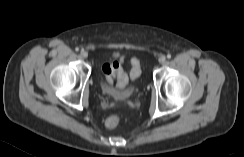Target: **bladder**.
I'll return each instance as SVG.
<instances>
[{"label":"bladder","instance_id":"obj_1","mask_svg":"<svg viewBox=\"0 0 244 157\" xmlns=\"http://www.w3.org/2000/svg\"><path fill=\"white\" fill-rule=\"evenodd\" d=\"M101 88L102 90L109 94V95H118V93L116 92V90L110 86H108L106 83H104L103 81L101 82ZM126 94H123V96H125Z\"/></svg>","mask_w":244,"mask_h":157}]
</instances>
